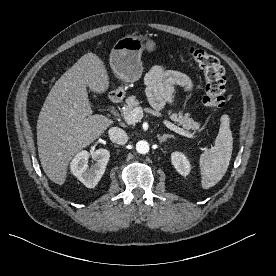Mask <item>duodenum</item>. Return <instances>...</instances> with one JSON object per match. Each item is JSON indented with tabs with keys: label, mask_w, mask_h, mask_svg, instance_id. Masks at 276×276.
Here are the masks:
<instances>
[{
	"label": "duodenum",
	"mask_w": 276,
	"mask_h": 276,
	"mask_svg": "<svg viewBox=\"0 0 276 276\" xmlns=\"http://www.w3.org/2000/svg\"><path fill=\"white\" fill-rule=\"evenodd\" d=\"M122 96L121 95H112L111 97H110V101L112 102V103H119L121 100H122Z\"/></svg>",
	"instance_id": "410a0bca"
}]
</instances>
